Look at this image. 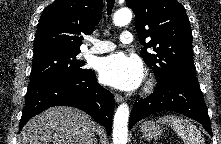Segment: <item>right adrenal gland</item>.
Instances as JSON below:
<instances>
[{"label":"right adrenal gland","instance_id":"2a0ac1e0","mask_svg":"<svg viewBox=\"0 0 221 144\" xmlns=\"http://www.w3.org/2000/svg\"><path fill=\"white\" fill-rule=\"evenodd\" d=\"M93 144H98L97 139L95 137L93 138Z\"/></svg>","mask_w":221,"mask_h":144}]
</instances>
